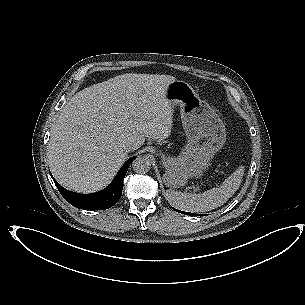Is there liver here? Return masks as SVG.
Listing matches in <instances>:
<instances>
[{"label": "liver", "mask_w": 305, "mask_h": 305, "mask_svg": "<svg viewBox=\"0 0 305 305\" xmlns=\"http://www.w3.org/2000/svg\"><path fill=\"white\" fill-rule=\"evenodd\" d=\"M146 87L118 76L76 93L63 107L48 144L50 169L65 188L92 193L107 186L127 157L124 146L138 149L146 137L165 139L172 113L154 102V89L164 96L172 76H157ZM153 94V93H152Z\"/></svg>", "instance_id": "obj_1"}]
</instances>
